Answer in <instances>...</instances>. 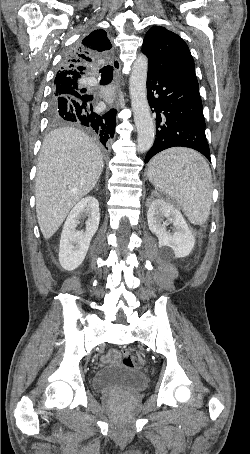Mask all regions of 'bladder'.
I'll return each mask as SVG.
<instances>
[{"mask_svg": "<svg viewBox=\"0 0 250 454\" xmlns=\"http://www.w3.org/2000/svg\"><path fill=\"white\" fill-rule=\"evenodd\" d=\"M148 385L144 371L135 370L124 364H111L92 375V388L98 393L139 392Z\"/></svg>", "mask_w": 250, "mask_h": 454, "instance_id": "obj_1", "label": "bladder"}]
</instances>
